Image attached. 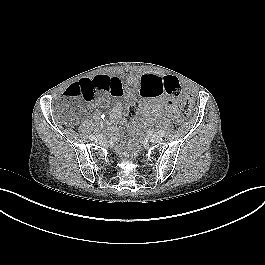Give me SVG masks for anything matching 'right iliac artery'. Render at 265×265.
Masks as SVG:
<instances>
[{
  "mask_svg": "<svg viewBox=\"0 0 265 265\" xmlns=\"http://www.w3.org/2000/svg\"><path fill=\"white\" fill-rule=\"evenodd\" d=\"M89 138H90L91 140H94V139H95V135H94V134H91V135L89 136Z\"/></svg>",
  "mask_w": 265,
  "mask_h": 265,
  "instance_id": "right-iliac-artery-1",
  "label": "right iliac artery"
}]
</instances>
